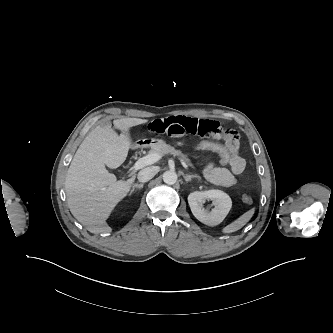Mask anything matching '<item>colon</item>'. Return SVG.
Listing matches in <instances>:
<instances>
[{
    "label": "colon",
    "mask_w": 333,
    "mask_h": 333,
    "mask_svg": "<svg viewBox=\"0 0 333 333\" xmlns=\"http://www.w3.org/2000/svg\"><path fill=\"white\" fill-rule=\"evenodd\" d=\"M193 148L198 151L211 152L216 154L222 165H228L230 162V154L228 150L221 144L212 140H199L193 143ZM245 204L252 203V197L248 194L242 196Z\"/></svg>",
    "instance_id": "obj_1"
}]
</instances>
